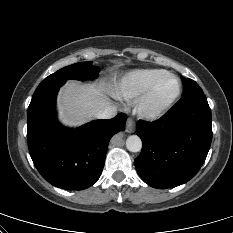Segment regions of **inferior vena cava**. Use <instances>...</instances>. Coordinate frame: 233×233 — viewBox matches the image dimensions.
<instances>
[{"label":"inferior vena cava","mask_w":233,"mask_h":233,"mask_svg":"<svg viewBox=\"0 0 233 233\" xmlns=\"http://www.w3.org/2000/svg\"><path fill=\"white\" fill-rule=\"evenodd\" d=\"M117 114V108L114 105L106 104L103 109L99 110L95 117L97 119H110Z\"/></svg>","instance_id":"602c4592"}]
</instances>
